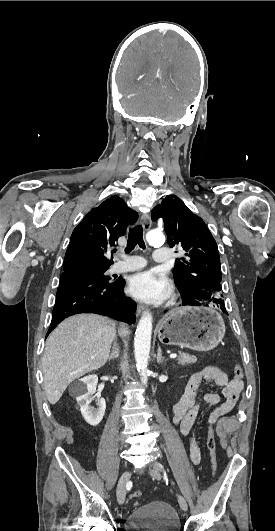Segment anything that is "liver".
Masks as SVG:
<instances>
[{
  "instance_id": "1",
  "label": "liver",
  "mask_w": 275,
  "mask_h": 531,
  "mask_svg": "<svg viewBox=\"0 0 275 531\" xmlns=\"http://www.w3.org/2000/svg\"><path fill=\"white\" fill-rule=\"evenodd\" d=\"M114 333V321L100 315H75L52 331L42 359L44 389L51 405L58 403L72 381L107 363ZM119 335H128L123 323Z\"/></svg>"
}]
</instances>
